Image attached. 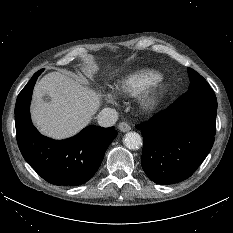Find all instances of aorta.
Here are the masks:
<instances>
[{
  "label": "aorta",
  "instance_id": "aorta-1",
  "mask_svg": "<svg viewBox=\"0 0 233 233\" xmlns=\"http://www.w3.org/2000/svg\"><path fill=\"white\" fill-rule=\"evenodd\" d=\"M124 144L128 149H138L142 145V138L137 132H128L125 134Z\"/></svg>",
  "mask_w": 233,
  "mask_h": 233
}]
</instances>
